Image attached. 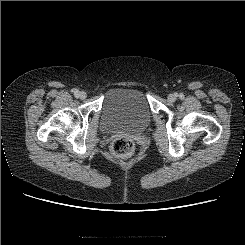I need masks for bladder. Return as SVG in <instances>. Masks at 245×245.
<instances>
[{
  "label": "bladder",
  "instance_id": "bladder-1",
  "mask_svg": "<svg viewBox=\"0 0 245 245\" xmlns=\"http://www.w3.org/2000/svg\"><path fill=\"white\" fill-rule=\"evenodd\" d=\"M145 94L134 87H115L106 97L103 125L109 131H138L151 122Z\"/></svg>",
  "mask_w": 245,
  "mask_h": 245
}]
</instances>
